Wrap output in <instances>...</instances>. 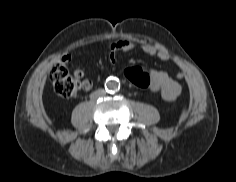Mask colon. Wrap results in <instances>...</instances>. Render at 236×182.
I'll use <instances>...</instances> for the list:
<instances>
[{"mask_svg": "<svg viewBox=\"0 0 236 182\" xmlns=\"http://www.w3.org/2000/svg\"><path fill=\"white\" fill-rule=\"evenodd\" d=\"M81 72L76 71L71 74L62 61H58L51 67L49 77L56 93L62 97H72L76 95L81 87L79 78ZM126 79L135 87L146 89L151 85V74L140 67H130L125 70Z\"/></svg>", "mask_w": 236, "mask_h": 182, "instance_id": "colon-1", "label": "colon"}]
</instances>
